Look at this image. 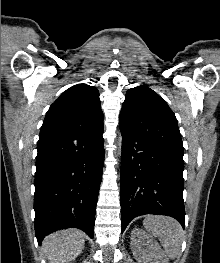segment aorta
<instances>
[{"mask_svg":"<svg viewBox=\"0 0 220 263\" xmlns=\"http://www.w3.org/2000/svg\"><path fill=\"white\" fill-rule=\"evenodd\" d=\"M117 146H118L117 154L119 156H121V146H122V137L121 136H119L117 139Z\"/></svg>","mask_w":220,"mask_h":263,"instance_id":"aorta-1","label":"aorta"}]
</instances>
